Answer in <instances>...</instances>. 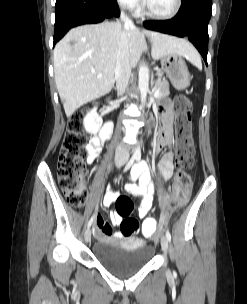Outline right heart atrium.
Masks as SVG:
<instances>
[{
    "instance_id": "right-heart-atrium-1",
    "label": "right heart atrium",
    "mask_w": 247,
    "mask_h": 304,
    "mask_svg": "<svg viewBox=\"0 0 247 304\" xmlns=\"http://www.w3.org/2000/svg\"><path fill=\"white\" fill-rule=\"evenodd\" d=\"M118 5L124 9H136L140 5V0H116Z\"/></svg>"
}]
</instances>
